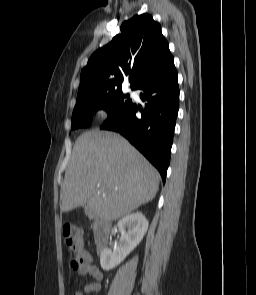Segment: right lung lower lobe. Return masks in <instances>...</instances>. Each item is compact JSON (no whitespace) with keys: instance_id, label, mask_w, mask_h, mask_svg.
Segmentation results:
<instances>
[{"instance_id":"obj_1","label":"right lung lower lobe","mask_w":256,"mask_h":295,"mask_svg":"<svg viewBox=\"0 0 256 295\" xmlns=\"http://www.w3.org/2000/svg\"><path fill=\"white\" fill-rule=\"evenodd\" d=\"M136 89L143 91L140 97L147 101L144 110L132 103L122 114L107 118L100 128L126 137L158 169L165 182L179 108L173 57L148 74ZM138 110L142 113L140 118L135 115Z\"/></svg>"}]
</instances>
